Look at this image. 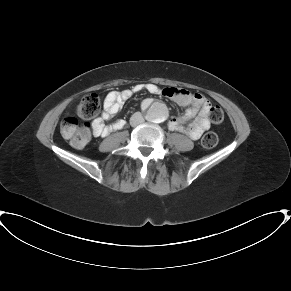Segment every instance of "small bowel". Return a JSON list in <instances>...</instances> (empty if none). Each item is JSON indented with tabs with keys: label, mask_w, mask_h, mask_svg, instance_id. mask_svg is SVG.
Instances as JSON below:
<instances>
[{
	"label": "small bowel",
	"mask_w": 291,
	"mask_h": 291,
	"mask_svg": "<svg viewBox=\"0 0 291 291\" xmlns=\"http://www.w3.org/2000/svg\"><path fill=\"white\" fill-rule=\"evenodd\" d=\"M143 90L151 94L165 96L187 107L185 113L180 118H170L168 121L169 130L184 133L191 139L198 140L210 128L208 114L211 105L202 94H190L178 88L163 89L149 82L137 84L131 89L109 92L104 101V111L101 118L92 122L93 134L96 137H106L111 132L121 129L125 124L123 120H118L110 124H104L103 120L117 114L122 109L125 101L134 93ZM142 106L143 108H147L149 106V101H145ZM186 122L188 123L185 124Z\"/></svg>",
	"instance_id": "c3829d8e"
}]
</instances>
